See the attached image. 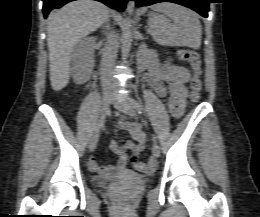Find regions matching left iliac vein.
Masks as SVG:
<instances>
[{"instance_id": "obj_1", "label": "left iliac vein", "mask_w": 260, "mask_h": 217, "mask_svg": "<svg viewBox=\"0 0 260 217\" xmlns=\"http://www.w3.org/2000/svg\"><path fill=\"white\" fill-rule=\"evenodd\" d=\"M113 104H114L115 108H117L119 111H121L129 116H132V117L136 116V112H135L134 107L132 106L130 100L120 101L118 99H114ZM152 155L155 158L160 156V147L156 142H154L152 145Z\"/></svg>"}]
</instances>
